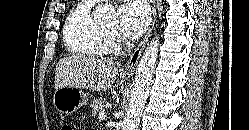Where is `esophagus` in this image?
Here are the masks:
<instances>
[{
	"mask_svg": "<svg viewBox=\"0 0 249 130\" xmlns=\"http://www.w3.org/2000/svg\"><path fill=\"white\" fill-rule=\"evenodd\" d=\"M150 2H151V7H152V21H151L150 27H149L145 37L143 38V40L139 43V45L136 47V49L132 53L131 57L129 58V60L125 66V69L123 71L124 75H132L133 74V72L137 66L138 60L140 59V56H141L150 36L152 34V31L154 29V25L156 22V16H157L156 2H155V0H150Z\"/></svg>",
	"mask_w": 249,
	"mask_h": 130,
	"instance_id": "34e87169",
	"label": "esophagus"
}]
</instances>
